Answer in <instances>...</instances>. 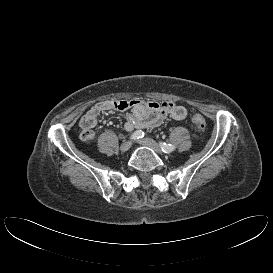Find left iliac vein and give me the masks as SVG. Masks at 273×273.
I'll return each mask as SVG.
<instances>
[{
	"label": "left iliac vein",
	"mask_w": 273,
	"mask_h": 273,
	"mask_svg": "<svg viewBox=\"0 0 273 273\" xmlns=\"http://www.w3.org/2000/svg\"><path fill=\"white\" fill-rule=\"evenodd\" d=\"M138 142H139V144H141L143 146L151 148L156 153L162 154V150H161L160 146L154 140H152L150 138H144L142 140H139Z\"/></svg>",
	"instance_id": "1"
}]
</instances>
